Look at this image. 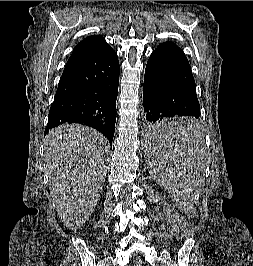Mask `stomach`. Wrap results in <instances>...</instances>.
<instances>
[{"mask_svg": "<svg viewBox=\"0 0 253 266\" xmlns=\"http://www.w3.org/2000/svg\"><path fill=\"white\" fill-rule=\"evenodd\" d=\"M200 138V136H197V140Z\"/></svg>", "mask_w": 253, "mask_h": 266, "instance_id": "0dacf381", "label": "stomach"}]
</instances>
